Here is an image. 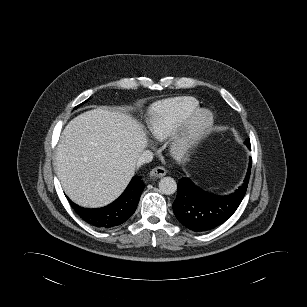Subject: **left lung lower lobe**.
<instances>
[{
	"mask_svg": "<svg viewBox=\"0 0 307 307\" xmlns=\"http://www.w3.org/2000/svg\"><path fill=\"white\" fill-rule=\"evenodd\" d=\"M251 149V146H247ZM252 160L242 186L233 193L219 196L198 188L189 178L178 182L173 211L177 219L188 229L203 232L214 229L228 220L239 207L247 190Z\"/></svg>",
	"mask_w": 307,
	"mask_h": 307,
	"instance_id": "0a47b994",
	"label": "left lung lower lobe"
}]
</instances>
